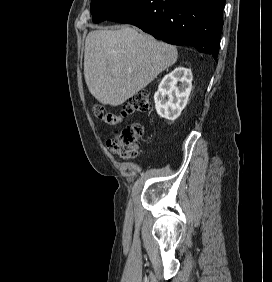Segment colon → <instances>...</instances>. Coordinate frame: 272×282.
<instances>
[{"instance_id": "5ec220e1", "label": "colon", "mask_w": 272, "mask_h": 282, "mask_svg": "<svg viewBox=\"0 0 272 282\" xmlns=\"http://www.w3.org/2000/svg\"><path fill=\"white\" fill-rule=\"evenodd\" d=\"M151 109L152 102L148 94L136 93L123 105L118 114L111 112L107 107L102 105L95 106L94 113L108 125H118L131 114L137 112L145 113ZM143 133L144 128L139 123L126 125L107 139V148L111 153L124 160L133 159L138 155L139 140L143 136Z\"/></svg>"}]
</instances>
